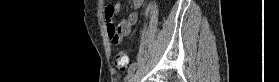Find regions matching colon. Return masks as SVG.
<instances>
[{"label": "colon", "instance_id": "5ec220e1", "mask_svg": "<svg viewBox=\"0 0 279 82\" xmlns=\"http://www.w3.org/2000/svg\"><path fill=\"white\" fill-rule=\"evenodd\" d=\"M114 64L117 69L120 71H125L129 65V57L127 54V50L121 49L119 50L114 58Z\"/></svg>", "mask_w": 279, "mask_h": 82}]
</instances>
